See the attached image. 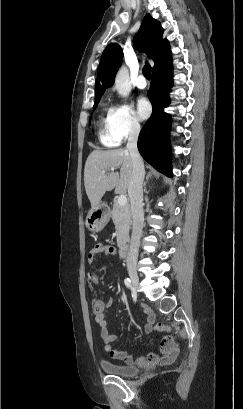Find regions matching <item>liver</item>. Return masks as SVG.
Returning a JSON list of instances; mask_svg holds the SVG:
<instances>
[{"label":"liver","instance_id":"6515ba94","mask_svg":"<svg viewBox=\"0 0 243 409\" xmlns=\"http://www.w3.org/2000/svg\"><path fill=\"white\" fill-rule=\"evenodd\" d=\"M120 168V173L109 169ZM105 171V172H103ZM132 175V160L127 149L94 150L84 168V185L91 207L95 208L106 191L126 193Z\"/></svg>","mask_w":243,"mask_h":409}]
</instances>
